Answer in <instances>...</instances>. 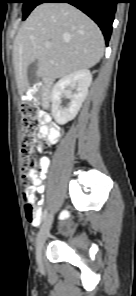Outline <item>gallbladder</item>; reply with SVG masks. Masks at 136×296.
Here are the masks:
<instances>
[{
    "instance_id": "obj_1",
    "label": "gallbladder",
    "mask_w": 136,
    "mask_h": 296,
    "mask_svg": "<svg viewBox=\"0 0 136 296\" xmlns=\"http://www.w3.org/2000/svg\"><path fill=\"white\" fill-rule=\"evenodd\" d=\"M37 70H38V62L36 60L32 62L27 69V78L30 83H35L38 81Z\"/></svg>"
}]
</instances>
